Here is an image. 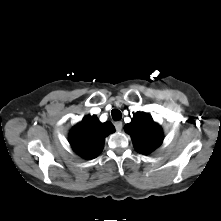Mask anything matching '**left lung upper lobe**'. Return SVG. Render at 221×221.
Returning <instances> with one entry per match:
<instances>
[{"label": "left lung upper lobe", "instance_id": "obj_1", "mask_svg": "<svg viewBox=\"0 0 221 221\" xmlns=\"http://www.w3.org/2000/svg\"><path fill=\"white\" fill-rule=\"evenodd\" d=\"M125 131L130 134L136 151L141 154L151 153L163 141L161 127L144 112H136L131 123L125 125Z\"/></svg>", "mask_w": 221, "mask_h": 221}]
</instances>
